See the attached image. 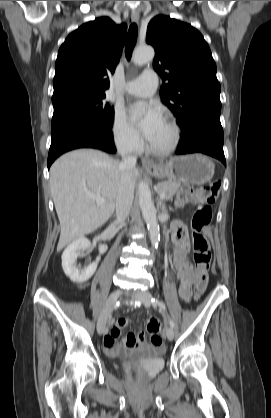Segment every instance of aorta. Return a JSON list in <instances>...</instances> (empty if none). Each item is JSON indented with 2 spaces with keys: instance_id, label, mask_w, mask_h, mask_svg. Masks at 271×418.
<instances>
[{
  "instance_id": "762f6f07",
  "label": "aorta",
  "mask_w": 271,
  "mask_h": 418,
  "mask_svg": "<svg viewBox=\"0 0 271 418\" xmlns=\"http://www.w3.org/2000/svg\"><path fill=\"white\" fill-rule=\"evenodd\" d=\"M155 55L154 49L150 46L139 47L133 54L134 64L141 66L151 60ZM139 205L142 211V216L147 224L150 241L153 246H157L160 240L159 225L156 218V208L152 201L151 191L146 182L139 184Z\"/></svg>"
}]
</instances>
